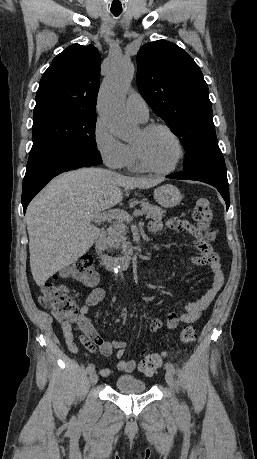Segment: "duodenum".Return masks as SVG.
Listing matches in <instances>:
<instances>
[{
  "label": "duodenum",
  "instance_id": "duodenum-1",
  "mask_svg": "<svg viewBox=\"0 0 257 459\" xmlns=\"http://www.w3.org/2000/svg\"><path fill=\"white\" fill-rule=\"evenodd\" d=\"M105 238V230L102 229L97 234L94 246L95 249L100 257V261L102 265L106 268L113 269L115 267H121L123 269H128L133 261V253L130 251H126L120 258H114L109 255H106L102 251V246Z\"/></svg>",
  "mask_w": 257,
  "mask_h": 459
}]
</instances>
